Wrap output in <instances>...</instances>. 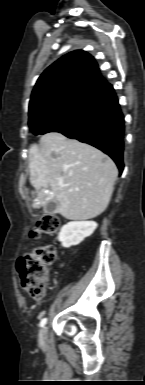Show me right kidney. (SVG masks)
I'll list each match as a JSON object with an SVG mask.
<instances>
[{
	"label": "right kidney",
	"mask_w": 145,
	"mask_h": 385,
	"mask_svg": "<svg viewBox=\"0 0 145 385\" xmlns=\"http://www.w3.org/2000/svg\"><path fill=\"white\" fill-rule=\"evenodd\" d=\"M98 224L94 221H74L65 224L58 235L64 248L80 244L86 237L93 234Z\"/></svg>",
	"instance_id": "1"
}]
</instances>
